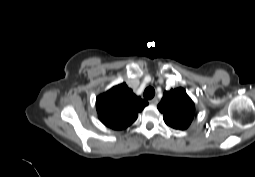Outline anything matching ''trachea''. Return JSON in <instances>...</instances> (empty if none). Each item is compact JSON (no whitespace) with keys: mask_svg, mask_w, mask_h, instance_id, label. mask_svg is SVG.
Returning <instances> with one entry per match:
<instances>
[{"mask_svg":"<svg viewBox=\"0 0 255 177\" xmlns=\"http://www.w3.org/2000/svg\"><path fill=\"white\" fill-rule=\"evenodd\" d=\"M154 95H155V90L153 87H147L143 94L145 99H152Z\"/></svg>","mask_w":255,"mask_h":177,"instance_id":"obj_1","label":"trachea"}]
</instances>
